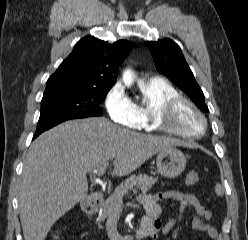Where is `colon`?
<instances>
[{
	"label": "colon",
	"instance_id": "1",
	"mask_svg": "<svg viewBox=\"0 0 248 240\" xmlns=\"http://www.w3.org/2000/svg\"><path fill=\"white\" fill-rule=\"evenodd\" d=\"M199 180V175L196 171H190L188 172L187 176H186V183L188 185H194L198 182ZM58 240V239H55Z\"/></svg>",
	"mask_w": 248,
	"mask_h": 240
}]
</instances>
